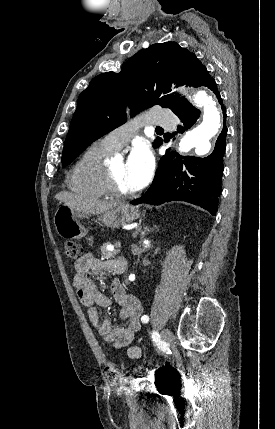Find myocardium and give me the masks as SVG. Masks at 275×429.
I'll return each instance as SVG.
<instances>
[{
    "mask_svg": "<svg viewBox=\"0 0 275 429\" xmlns=\"http://www.w3.org/2000/svg\"><path fill=\"white\" fill-rule=\"evenodd\" d=\"M106 180H107V189H108L109 195L117 197V198H129V197H132L135 195V192H133V191L132 192H126V191H123L119 187V185H118V183H117V181H116V179H115V177H114V175L110 169V166L106 167Z\"/></svg>",
    "mask_w": 275,
    "mask_h": 429,
    "instance_id": "1",
    "label": "myocardium"
}]
</instances>
